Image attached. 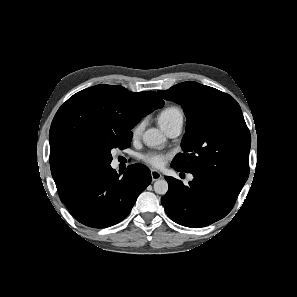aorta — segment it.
I'll use <instances>...</instances> for the list:
<instances>
[{
    "label": "aorta",
    "mask_w": 297,
    "mask_h": 297,
    "mask_svg": "<svg viewBox=\"0 0 297 297\" xmlns=\"http://www.w3.org/2000/svg\"><path fill=\"white\" fill-rule=\"evenodd\" d=\"M166 141L165 136L156 128H150L143 135V142L146 146L156 147L163 145ZM154 191L157 194L165 195L168 191V183L164 179H158L154 183Z\"/></svg>",
    "instance_id": "aorta-1"
}]
</instances>
